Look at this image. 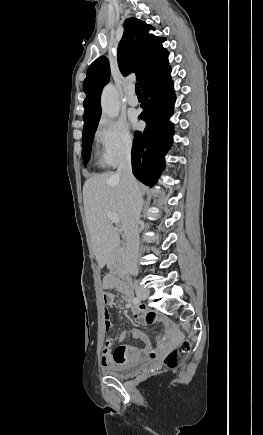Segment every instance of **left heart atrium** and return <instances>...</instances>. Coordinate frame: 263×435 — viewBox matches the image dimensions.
<instances>
[{
	"mask_svg": "<svg viewBox=\"0 0 263 435\" xmlns=\"http://www.w3.org/2000/svg\"><path fill=\"white\" fill-rule=\"evenodd\" d=\"M134 125H135V126H138V122H137V121H134Z\"/></svg>",
	"mask_w": 263,
	"mask_h": 435,
	"instance_id": "left-heart-atrium-1",
	"label": "left heart atrium"
}]
</instances>
